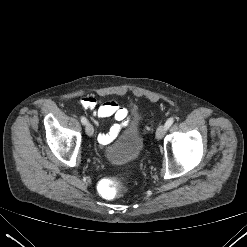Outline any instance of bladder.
Masks as SVG:
<instances>
[{"instance_id":"bladder-1","label":"bladder","mask_w":247,"mask_h":247,"mask_svg":"<svg viewBox=\"0 0 247 247\" xmlns=\"http://www.w3.org/2000/svg\"><path fill=\"white\" fill-rule=\"evenodd\" d=\"M141 118L135 114L121 139L107 152V160L112 164H125L136 160L144 147L140 131Z\"/></svg>"}]
</instances>
